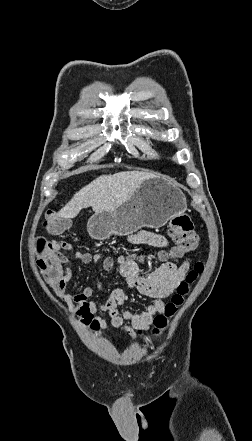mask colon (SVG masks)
I'll return each mask as SVG.
<instances>
[{"label":"colon","instance_id":"colon-1","mask_svg":"<svg viewBox=\"0 0 252 441\" xmlns=\"http://www.w3.org/2000/svg\"><path fill=\"white\" fill-rule=\"evenodd\" d=\"M68 227L69 222L67 220L54 214H50L45 222L46 230L56 236L63 235ZM168 234L175 243L174 252L177 255H186L197 248L198 236L194 231L191 219L187 215L173 218L169 223ZM60 248V243L56 241L41 239L36 243L37 266L47 281L56 283L63 277L61 271L62 255L59 253ZM203 270L204 263L202 261L197 262L194 269L188 272L185 279L180 282L171 301L165 305L163 313L155 316L153 323L156 334L166 328L169 318L183 304L191 286ZM91 327L98 329L100 327L99 321L94 320L91 323Z\"/></svg>","mask_w":252,"mask_h":441}]
</instances>
